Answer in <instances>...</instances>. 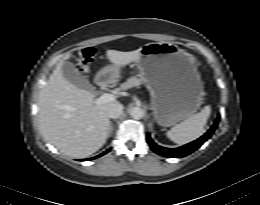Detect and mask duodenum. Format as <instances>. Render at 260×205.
<instances>
[{
  "label": "duodenum",
  "mask_w": 260,
  "mask_h": 205,
  "mask_svg": "<svg viewBox=\"0 0 260 205\" xmlns=\"http://www.w3.org/2000/svg\"><path fill=\"white\" fill-rule=\"evenodd\" d=\"M97 82L101 88H108L110 86L109 81L102 76H98Z\"/></svg>",
  "instance_id": "duodenum-1"
}]
</instances>
